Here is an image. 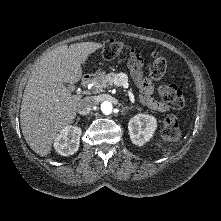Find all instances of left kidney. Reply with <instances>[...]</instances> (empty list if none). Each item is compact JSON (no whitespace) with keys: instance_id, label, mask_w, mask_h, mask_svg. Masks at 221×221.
Instances as JSON below:
<instances>
[{"instance_id":"1","label":"left kidney","mask_w":221,"mask_h":221,"mask_svg":"<svg viewBox=\"0 0 221 221\" xmlns=\"http://www.w3.org/2000/svg\"><path fill=\"white\" fill-rule=\"evenodd\" d=\"M157 121L153 116L138 114L128 123L129 135L132 143L138 146L144 145L154 134Z\"/></svg>"}]
</instances>
